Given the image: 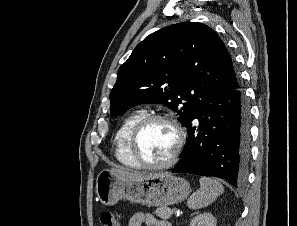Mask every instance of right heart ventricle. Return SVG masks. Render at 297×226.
<instances>
[{"mask_svg": "<svg viewBox=\"0 0 297 226\" xmlns=\"http://www.w3.org/2000/svg\"><path fill=\"white\" fill-rule=\"evenodd\" d=\"M145 115L146 111L143 109H138L129 113L122 120L114 136L115 157L118 162L128 168H140L129 153L128 138L134 125Z\"/></svg>", "mask_w": 297, "mask_h": 226, "instance_id": "right-heart-ventricle-1", "label": "right heart ventricle"}]
</instances>
